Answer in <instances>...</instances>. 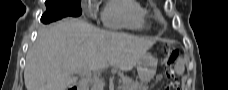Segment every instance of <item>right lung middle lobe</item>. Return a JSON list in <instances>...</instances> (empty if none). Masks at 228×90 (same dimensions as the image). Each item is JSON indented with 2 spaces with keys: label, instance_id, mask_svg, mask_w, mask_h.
Listing matches in <instances>:
<instances>
[{
  "label": "right lung middle lobe",
  "instance_id": "1",
  "mask_svg": "<svg viewBox=\"0 0 228 90\" xmlns=\"http://www.w3.org/2000/svg\"><path fill=\"white\" fill-rule=\"evenodd\" d=\"M47 9L54 15L79 16L81 14V0H46Z\"/></svg>",
  "mask_w": 228,
  "mask_h": 90
}]
</instances>
